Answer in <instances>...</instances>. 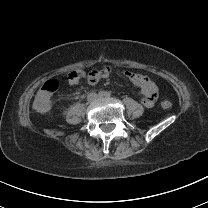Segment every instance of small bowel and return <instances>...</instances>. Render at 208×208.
<instances>
[{
	"label": "small bowel",
	"instance_id": "c3829d8e",
	"mask_svg": "<svg viewBox=\"0 0 208 208\" xmlns=\"http://www.w3.org/2000/svg\"><path fill=\"white\" fill-rule=\"evenodd\" d=\"M113 70V66L108 64L106 68L102 70H92L88 73V79L91 84H95L100 78L105 77ZM125 76L134 81L141 87V102L146 107H152L157 99V88L153 81L145 74L125 71Z\"/></svg>",
	"mask_w": 208,
	"mask_h": 208
}]
</instances>
